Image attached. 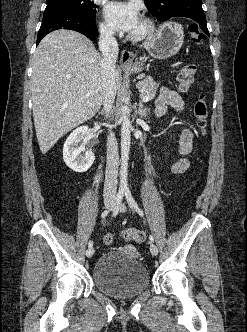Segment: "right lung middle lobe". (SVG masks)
<instances>
[{"label": "right lung middle lobe", "instance_id": "dd1d6c3e", "mask_svg": "<svg viewBox=\"0 0 247 332\" xmlns=\"http://www.w3.org/2000/svg\"><path fill=\"white\" fill-rule=\"evenodd\" d=\"M97 6L91 0H47L44 12L53 10H75L95 16Z\"/></svg>", "mask_w": 247, "mask_h": 332}]
</instances>
